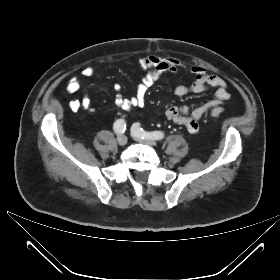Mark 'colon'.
<instances>
[{"label":"colon","instance_id":"5ec220e1","mask_svg":"<svg viewBox=\"0 0 280 280\" xmlns=\"http://www.w3.org/2000/svg\"><path fill=\"white\" fill-rule=\"evenodd\" d=\"M211 115L214 117H219L222 115V110L215 108L211 110Z\"/></svg>","mask_w":280,"mask_h":280}]
</instances>
